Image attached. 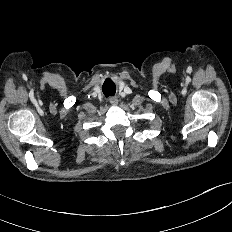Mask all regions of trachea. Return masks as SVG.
Here are the masks:
<instances>
[{
    "mask_svg": "<svg viewBox=\"0 0 232 232\" xmlns=\"http://www.w3.org/2000/svg\"><path fill=\"white\" fill-rule=\"evenodd\" d=\"M103 93L106 97H109V96H113L115 94V91H116V87H115V84L110 81V80H107L104 85H103Z\"/></svg>",
    "mask_w": 232,
    "mask_h": 232,
    "instance_id": "obj_1",
    "label": "trachea"
}]
</instances>
